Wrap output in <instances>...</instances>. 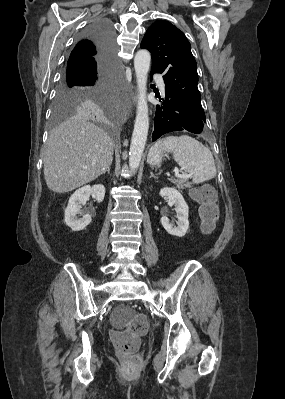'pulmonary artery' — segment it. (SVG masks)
Here are the masks:
<instances>
[{
	"mask_svg": "<svg viewBox=\"0 0 285 399\" xmlns=\"http://www.w3.org/2000/svg\"><path fill=\"white\" fill-rule=\"evenodd\" d=\"M155 79H156V81L158 82L159 88H160L162 91H164L165 85H164V83H163L162 77H161L160 75H156V76H155Z\"/></svg>",
	"mask_w": 285,
	"mask_h": 399,
	"instance_id": "e3ab8cb5",
	"label": "pulmonary artery"
}]
</instances>
